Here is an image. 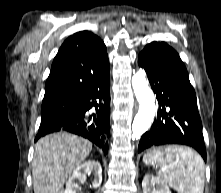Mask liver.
<instances>
[{
    "instance_id": "liver-1",
    "label": "liver",
    "mask_w": 221,
    "mask_h": 193,
    "mask_svg": "<svg viewBox=\"0 0 221 193\" xmlns=\"http://www.w3.org/2000/svg\"><path fill=\"white\" fill-rule=\"evenodd\" d=\"M91 150V142L69 133L38 140L32 163L34 193H63L67 178Z\"/></svg>"
}]
</instances>
